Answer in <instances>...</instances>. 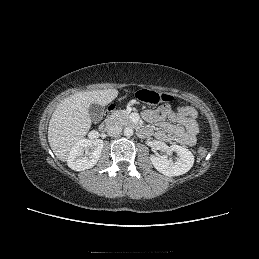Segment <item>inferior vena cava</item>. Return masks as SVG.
<instances>
[{
	"instance_id": "obj_1",
	"label": "inferior vena cava",
	"mask_w": 259,
	"mask_h": 259,
	"mask_svg": "<svg viewBox=\"0 0 259 259\" xmlns=\"http://www.w3.org/2000/svg\"><path fill=\"white\" fill-rule=\"evenodd\" d=\"M122 132V127L116 123L110 124L107 128V133L111 137H116Z\"/></svg>"
}]
</instances>
